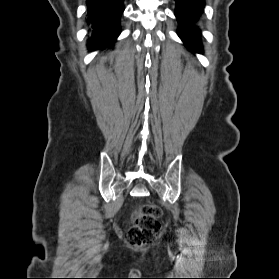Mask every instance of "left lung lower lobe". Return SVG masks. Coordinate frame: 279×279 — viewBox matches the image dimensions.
<instances>
[{"label": "left lung lower lobe", "instance_id": "obj_1", "mask_svg": "<svg viewBox=\"0 0 279 279\" xmlns=\"http://www.w3.org/2000/svg\"><path fill=\"white\" fill-rule=\"evenodd\" d=\"M175 16L178 20V35L185 45L194 52H202L200 31L196 23L203 13L205 0H175Z\"/></svg>", "mask_w": 279, "mask_h": 279}]
</instances>
